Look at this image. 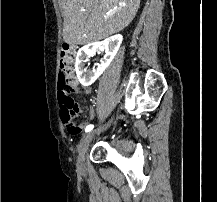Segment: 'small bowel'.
Here are the masks:
<instances>
[{"label": "small bowel", "instance_id": "1", "mask_svg": "<svg viewBox=\"0 0 217 202\" xmlns=\"http://www.w3.org/2000/svg\"><path fill=\"white\" fill-rule=\"evenodd\" d=\"M71 80H73V84H74L75 89L78 88V87H79V83H78V81L76 80L75 75H72V76H71ZM79 111H80V110H79ZM88 114H89V117H90L91 119H93V118L95 117V111H94V109H93V108H90ZM80 127H81V128H85V127H86V124H85V123H80Z\"/></svg>", "mask_w": 217, "mask_h": 202}]
</instances>
